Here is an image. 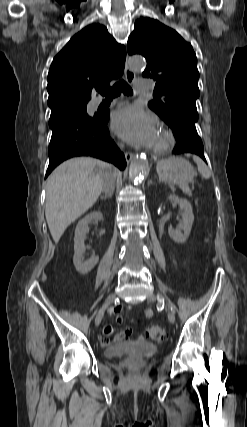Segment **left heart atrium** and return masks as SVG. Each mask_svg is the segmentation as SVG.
Masks as SVG:
<instances>
[{"mask_svg": "<svg viewBox=\"0 0 247 427\" xmlns=\"http://www.w3.org/2000/svg\"><path fill=\"white\" fill-rule=\"evenodd\" d=\"M113 131L135 146H151L158 131L155 117L140 107L128 106L118 110L112 119Z\"/></svg>", "mask_w": 247, "mask_h": 427, "instance_id": "39dd6f15", "label": "left heart atrium"}]
</instances>
